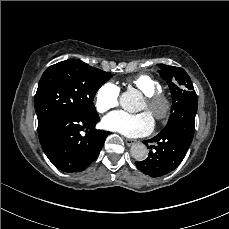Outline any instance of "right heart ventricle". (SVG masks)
<instances>
[{"label":"right heart ventricle","mask_w":229,"mask_h":229,"mask_svg":"<svg viewBox=\"0 0 229 229\" xmlns=\"http://www.w3.org/2000/svg\"><path fill=\"white\" fill-rule=\"evenodd\" d=\"M128 82L144 94L160 92L162 89L160 82L148 74H138Z\"/></svg>","instance_id":"e07e8e85"}]
</instances>
